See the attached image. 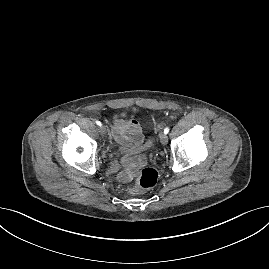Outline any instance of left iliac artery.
I'll return each instance as SVG.
<instances>
[{
	"mask_svg": "<svg viewBox=\"0 0 269 269\" xmlns=\"http://www.w3.org/2000/svg\"><path fill=\"white\" fill-rule=\"evenodd\" d=\"M169 130H170L169 127H166V128L164 129V133L167 134V133L169 132Z\"/></svg>",
	"mask_w": 269,
	"mask_h": 269,
	"instance_id": "left-iliac-artery-1",
	"label": "left iliac artery"
}]
</instances>
